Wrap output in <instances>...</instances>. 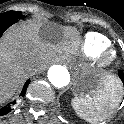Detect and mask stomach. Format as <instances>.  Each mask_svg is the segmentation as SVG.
Instances as JSON below:
<instances>
[{
	"label": "stomach",
	"instance_id": "0dacf381",
	"mask_svg": "<svg viewBox=\"0 0 124 124\" xmlns=\"http://www.w3.org/2000/svg\"><path fill=\"white\" fill-rule=\"evenodd\" d=\"M111 76H99L89 73H81L74 86L76 97H90L104 90L107 84H112Z\"/></svg>",
	"mask_w": 124,
	"mask_h": 124
}]
</instances>
